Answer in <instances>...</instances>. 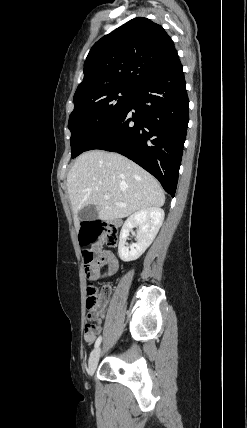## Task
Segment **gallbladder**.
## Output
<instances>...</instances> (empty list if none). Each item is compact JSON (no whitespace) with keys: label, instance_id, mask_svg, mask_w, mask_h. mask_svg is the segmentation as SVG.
<instances>
[{"label":"gallbladder","instance_id":"obj_1","mask_svg":"<svg viewBox=\"0 0 247 428\" xmlns=\"http://www.w3.org/2000/svg\"><path fill=\"white\" fill-rule=\"evenodd\" d=\"M83 221H95L98 218V209L95 205H88L82 208L78 213Z\"/></svg>","mask_w":247,"mask_h":428}]
</instances>
